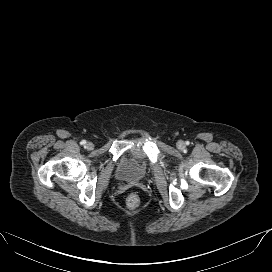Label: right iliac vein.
Returning <instances> with one entry per match:
<instances>
[{"mask_svg": "<svg viewBox=\"0 0 272 272\" xmlns=\"http://www.w3.org/2000/svg\"><path fill=\"white\" fill-rule=\"evenodd\" d=\"M94 148V144L92 143V142H88L87 144H86V149L87 150H92Z\"/></svg>", "mask_w": 272, "mask_h": 272, "instance_id": "right-iliac-vein-1", "label": "right iliac vein"}]
</instances>
